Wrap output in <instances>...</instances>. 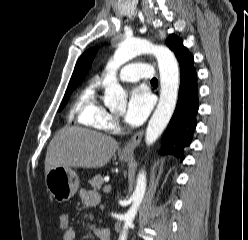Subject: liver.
Wrapping results in <instances>:
<instances>
[{
    "mask_svg": "<svg viewBox=\"0 0 248 240\" xmlns=\"http://www.w3.org/2000/svg\"><path fill=\"white\" fill-rule=\"evenodd\" d=\"M117 148V141L108 135L83 128H64L47 148L45 174L59 166L101 168Z\"/></svg>",
    "mask_w": 248,
    "mask_h": 240,
    "instance_id": "obj_1",
    "label": "liver"
}]
</instances>
